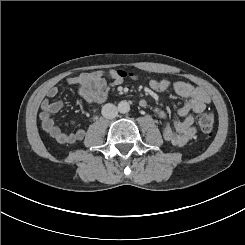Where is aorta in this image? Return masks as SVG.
I'll list each match as a JSON object with an SVG mask.
<instances>
[{"label":"aorta","instance_id":"1","mask_svg":"<svg viewBox=\"0 0 245 245\" xmlns=\"http://www.w3.org/2000/svg\"><path fill=\"white\" fill-rule=\"evenodd\" d=\"M117 108L118 111L122 114L128 113L130 111V105L127 101H120Z\"/></svg>","mask_w":245,"mask_h":245}]
</instances>
